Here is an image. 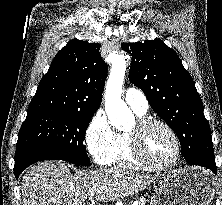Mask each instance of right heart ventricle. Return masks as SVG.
<instances>
[{
	"mask_svg": "<svg viewBox=\"0 0 222 205\" xmlns=\"http://www.w3.org/2000/svg\"><path fill=\"white\" fill-rule=\"evenodd\" d=\"M135 113L140 117L143 116V114L136 111ZM107 164L111 166L139 169L149 168L134 157L128 132H121L116 134L115 146L109 156Z\"/></svg>",
	"mask_w": 222,
	"mask_h": 205,
	"instance_id": "e07e8e85",
	"label": "right heart ventricle"
}]
</instances>
